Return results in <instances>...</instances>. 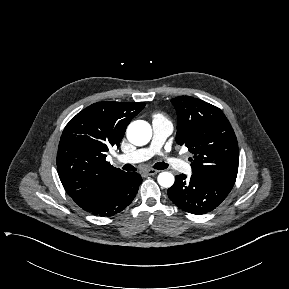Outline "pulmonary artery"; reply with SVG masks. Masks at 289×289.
Returning a JSON list of instances; mask_svg holds the SVG:
<instances>
[{
	"instance_id": "pulmonary-artery-1",
	"label": "pulmonary artery",
	"mask_w": 289,
	"mask_h": 289,
	"mask_svg": "<svg viewBox=\"0 0 289 289\" xmlns=\"http://www.w3.org/2000/svg\"><path fill=\"white\" fill-rule=\"evenodd\" d=\"M152 128L153 138L149 147L120 155L118 160L126 163H139L150 159L153 155L158 153L167 137L172 133L173 126L167 120L154 119ZM165 160V163H167L169 167L180 172L189 173L191 170L190 165L179 158L166 157Z\"/></svg>"
}]
</instances>
